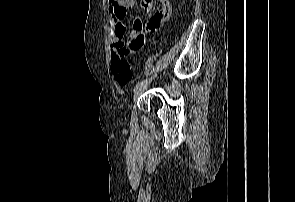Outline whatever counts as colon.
Instances as JSON below:
<instances>
[{"mask_svg": "<svg viewBox=\"0 0 295 202\" xmlns=\"http://www.w3.org/2000/svg\"><path fill=\"white\" fill-rule=\"evenodd\" d=\"M127 55V50H119L116 52L115 57L112 60L111 72L115 81L120 86L128 85L133 78L129 61L126 58Z\"/></svg>", "mask_w": 295, "mask_h": 202, "instance_id": "1", "label": "colon"}]
</instances>
